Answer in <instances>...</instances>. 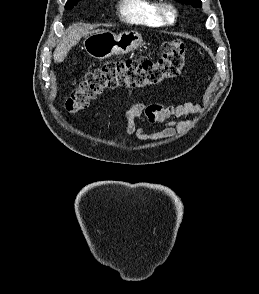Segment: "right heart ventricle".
Returning a JSON list of instances; mask_svg holds the SVG:
<instances>
[{
    "label": "right heart ventricle",
    "instance_id": "1",
    "mask_svg": "<svg viewBox=\"0 0 259 294\" xmlns=\"http://www.w3.org/2000/svg\"><path fill=\"white\" fill-rule=\"evenodd\" d=\"M155 5L154 0H120L119 15L126 23L159 27L162 23L155 14Z\"/></svg>",
    "mask_w": 259,
    "mask_h": 294
}]
</instances>
